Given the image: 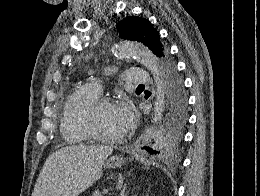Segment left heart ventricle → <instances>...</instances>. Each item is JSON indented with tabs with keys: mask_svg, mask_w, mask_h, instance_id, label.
<instances>
[{
	"mask_svg": "<svg viewBox=\"0 0 260 196\" xmlns=\"http://www.w3.org/2000/svg\"><path fill=\"white\" fill-rule=\"evenodd\" d=\"M87 111L83 113L82 121L85 119ZM95 126L103 133H108L111 135H118L125 130L122 124L119 104H112L101 108L95 116Z\"/></svg>",
	"mask_w": 260,
	"mask_h": 196,
	"instance_id": "left-heart-ventricle-1",
	"label": "left heart ventricle"
}]
</instances>
